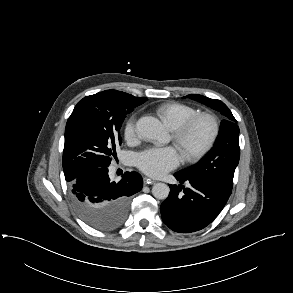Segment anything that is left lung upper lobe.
Returning <instances> with one entry per match:
<instances>
[{"instance_id":"left-lung-upper-lobe-1","label":"left lung upper lobe","mask_w":293,"mask_h":293,"mask_svg":"<svg viewBox=\"0 0 293 293\" xmlns=\"http://www.w3.org/2000/svg\"><path fill=\"white\" fill-rule=\"evenodd\" d=\"M188 98L196 100L224 115L220 132L213 149L196 165L179 171L187 176L215 181L232 189L235 169L239 163V127L229 108L220 100L191 94Z\"/></svg>"}]
</instances>
